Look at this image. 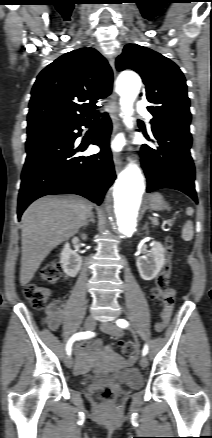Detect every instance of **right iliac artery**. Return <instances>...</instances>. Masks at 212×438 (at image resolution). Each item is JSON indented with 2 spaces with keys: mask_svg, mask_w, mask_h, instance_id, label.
I'll return each mask as SVG.
<instances>
[{
  "mask_svg": "<svg viewBox=\"0 0 212 438\" xmlns=\"http://www.w3.org/2000/svg\"><path fill=\"white\" fill-rule=\"evenodd\" d=\"M93 336H94V333L91 331L79 332V333L74 334L67 342V345H66L67 355H71L72 344L74 341L88 339V338H91Z\"/></svg>",
  "mask_w": 212,
  "mask_h": 438,
  "instance_id": "82829eb1",
  "label": "right iliac artery"
}]
</instances>
